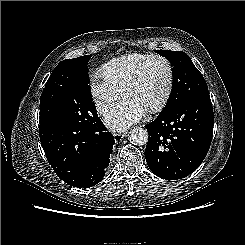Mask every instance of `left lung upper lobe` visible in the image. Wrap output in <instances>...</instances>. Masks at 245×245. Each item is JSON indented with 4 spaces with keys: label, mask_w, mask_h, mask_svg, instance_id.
<instances>
[{
    "label": "left lung upper lobe",
    "mask_w": 245,
    "mask_h": 245,
    "mask_svg": "<svg viewBox=\"0 0 245 245\" xmlns=\"http://www.w3.org/2000/svg\"><path fill=\"white\" fill-rule=\"evenodd\" d=\"M173 66V86L169 100L160 114H167L186 99L199 94L208 93L205 79L194 66L190 57L182 51L156 50Z\"/></svg>",
    "instance_id": "left-lung-upper-lobe-1"
}]
</instances>
